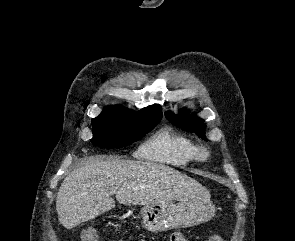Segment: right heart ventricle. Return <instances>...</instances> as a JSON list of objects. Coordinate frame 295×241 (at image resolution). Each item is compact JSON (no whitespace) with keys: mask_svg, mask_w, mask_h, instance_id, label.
I'll list each match as a JSON object with an SVG mask.
<instances>
[{"mask_svg":"<svg viewBox=\"0 0 295 241\" xmlns=\"http://www.w3.org/2000/svg\"><path fill=\"white\" fill-rule=\"evenodd\" d=\"M197 145L189 138L170 130H161L139 148L140 158L164 165L181 167L197 158Z\"/></svg>","mask_w":295,"mask_h":241,"instance_id":"right-heart-ventricle-1","label":"right heart ventricle"}]
</instances>
